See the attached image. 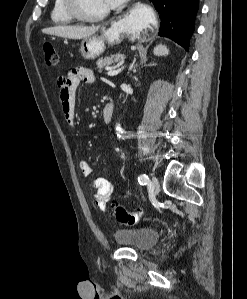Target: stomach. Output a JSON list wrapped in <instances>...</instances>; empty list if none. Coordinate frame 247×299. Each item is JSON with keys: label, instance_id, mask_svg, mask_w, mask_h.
<instances>
[{"label": "stomach", "instance_id": "stomach-1", "mask_svg": "<svg viewBox=\"0 0 247 299\" xmlns=\"http://www.w3.org/2000/svg\"><path fill=\"white\" fill-rule=\"evenodd\" d=\"M124 23V20L108 22L101 28L100 36L94 35L83 39L80 45L82 57L86 60H94L104 52L106 44L120 43L129 32Z\"/></svg>", "mask_w": 247, "mask_h": 299}]
</instances>
